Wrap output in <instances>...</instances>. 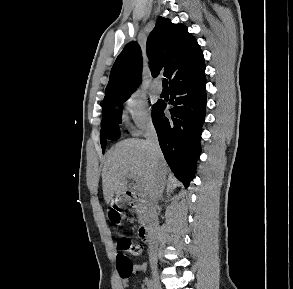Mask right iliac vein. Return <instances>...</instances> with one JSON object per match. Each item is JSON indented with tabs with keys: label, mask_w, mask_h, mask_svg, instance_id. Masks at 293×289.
<instances>
[{
	"label": "right iliac vein",
	"mask_w": 293,
	"mask_h": 289,
	"mask_svg": "<svg viewBox=\"0 0 293 289\" xmlns=\"http://www.w3.org/2000/svg\"><path fill=\"white\" fill-rule=\"evenodd\" d=\"M152 282H153V289H162L159 282L158 272L156 271L155 268L152 271Z\"/></svg>",
	"instance_id": "right-iliac-vein-1"
}]
</instances>
